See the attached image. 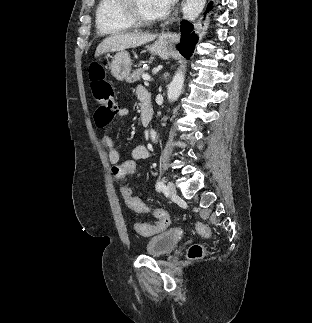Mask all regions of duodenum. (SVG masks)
<instances>
[{
    "label": "duodenum",
    "instance_id": "410a0bca",
    "mask_svg": "<svg viewBox=\"0 0 312 323\" xmlns=\"http://www.w3.org/2000/svg\"><path fill=\"white\" fill-rule=\"evenodd\" d=\"M142 107L140 111V123L143 127L147 126L154 114L153 106L151 104V99L148 93H146L142 99Z\"/></svg>",
    "mask_w": 312,
    "mask_h": 323
}]
</instances>
